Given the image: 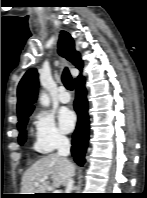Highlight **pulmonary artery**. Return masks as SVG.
I'll use <instances>...</instances> for the list:
<instances>
[{"instance_id":"pulmonary-artery-1","label":"pulmonary artery","mask_w":147,"mask_h":198,"mask_svg":"<svg viewBox=\"0 0 147 198\" xmlns=\"http://www.w3.org/2000/svg\"><path fill=\"white\" fill-rule=\"evenodd\" d=\"M58 100L64 104L69 103L71 100L70 94L64 87L59 88Z\"/></svg>"}]
</instances>
